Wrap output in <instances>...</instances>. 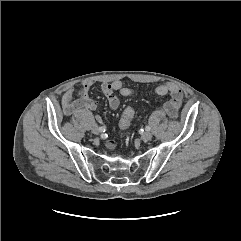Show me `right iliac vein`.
Wrapping results in <instances>:
<instances>
[{"mask_svg": "<svg viewBox=\"0 0 241 241\" xmlns=\"http://www.w3.org/2000/svg\"><path fill=\"white\" fill-rule=\"evenodd\" d=\"M91 130L94 134H99L101 132L97 126H93Z\"/></svg>", "mask_w": 241, "mask_h": 241, "instance_id": "1", "label": "right iliac vein"}]
</instances>
